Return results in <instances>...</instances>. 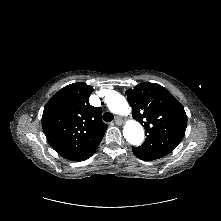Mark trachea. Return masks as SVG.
Listing matches in <instances>:
<instances>
[{"mask_svg": "<svg viewBox=\"0 0 221 221\" xmlns=\"http://www.w3.org/2000/svg\"><path fill=\"white\" fill-rule=\"evenodd\" d=\"M103 119L105 122H111L114 119V116L110 112H106L103 114Z\"/></svg>", "mask_w": 221, "mask_h": 221, "instance_id": "1", "label": "trachea"}]
</instances>
